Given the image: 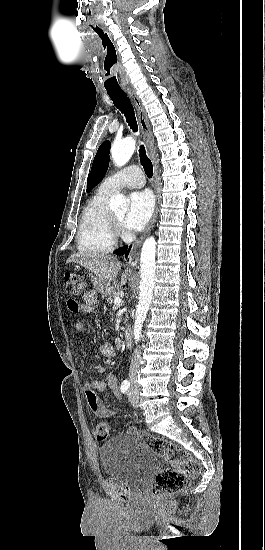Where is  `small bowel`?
<instances>
[{
  "label": "small bowel",
  "instance_id": "1",
  "mask_svg": "<svg viewBox=\"0 0 265 550\" xmlns=\"http://www.w3.org/2000/svg\"><path fill=\"white\" fill-rule=\"evenodd\" d=\"M72 301V300H71ZM70 301V302H71ZM98 303L97 295L93 290L87 291L83 296V303L80 311L91 313L95 310ZM74 329L77 333L84 332V326L81 323H76ZM99 354L108 359L115 357V349L110 343H103L99 346ZM98 373H104L102 366H96ZM85 390L88 396V403L92 413L98 418H108L113 415V411L108 409L104 403L94 395V391L112 392L117 399H120L118 390V377L114 373H107L105 380H91L85 384Z\"/></svg>",
  "mask_w": 265,
  "mask_h": 550
}]
</instances>
